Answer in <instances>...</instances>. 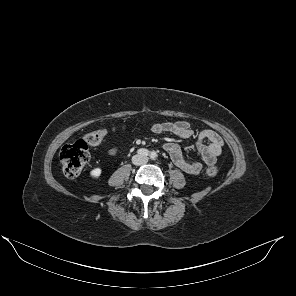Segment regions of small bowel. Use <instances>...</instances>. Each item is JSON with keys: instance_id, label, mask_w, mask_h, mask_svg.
Here are the masks:
<instances>
[{"instance_id": "c3829d8e", "label": "small bowel", "mask_w": 296, "mask_h": 296, "mask_svg": "<svg viewBox=\"0 0 296 296\" xmlns=\"http://www.w3.org/2000/svg\"><path fill=\"white\" fill-rule=\"evenodd\" d=\"M151 130L156 134L172 133L183 139L191 138L194 135L189 122L184 120L156 123L152 125ZM222 146V138L215 131L209 129L203 130L198 134L195 144L206 165H212L216 162L217 157L221 154ZM119 149L118 146L112 147L108 151V155L111 157L116 156ZM164 150L169 154L172 162L186 173L198 174L201 172V162L186 158L179 144L167 142L164 144Z\"/></svg>"}]
</instances>
